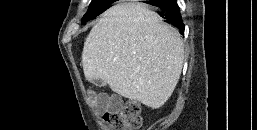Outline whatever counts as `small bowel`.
Returning <instances> with one entry per match:
<instances>
[{
	"mask_svg": "<svg viewBox=\"0 0 257 130\" xmlns=\"http://www.w3.org/2000/svg\"><path fill=\"white\" fill-rule=\"evenodd\" d=\"M91 101L97 110L107 111L117 107L120 104V98L115 95L105 93L92 94Z\"/></svg>",
	"mask_w": 257,
	"mask_h": 130,
	"instance_id": "c3829d8e",
	"label": "small bowel"
}]
</instances>
